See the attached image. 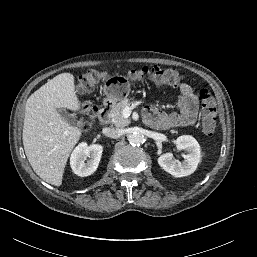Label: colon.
<instances>
[{
    "label": "colon",
    "mask_w": 257,
    "mask_h": 257,
    "mask_svg": "<svg viewBox=\"0 0 257 257\" xmlns=\"http://www.w3.org/2000/svg\"><path fill=\"white\" fill-rule=\"evenodd\" d=\"M131 82L151 81L156 85L178 86L184 80V75L175 68L160 69L141 68L131 70L127 74ZM109 78V74L98 70H88L86 73L77 77V88L80 92L88 93L95 89L97 84ZM199 99L201 102L202 117L201 127L206 135H212L216 128V104L215 99L206 88L199 90ZM81 112L87 117L83 123V128L87 129L91 121L96 116L97 109L90 104L84 105Z\"/></svg>",
    "instance_id": "1"
}]
</instances>
